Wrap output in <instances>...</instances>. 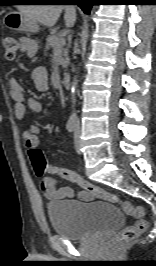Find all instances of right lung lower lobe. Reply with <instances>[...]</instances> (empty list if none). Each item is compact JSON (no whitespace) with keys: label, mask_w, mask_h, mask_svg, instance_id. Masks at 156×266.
<instances>
[{"label":"right lung lower lobe","mask_w":156,"mask_h":266,"mask_svg":"<svg viewBox=\"0 0 156 266\" xmlns=\"http://www.w3.org/2000/svg\"><path fill=\"white\" fill-rule=\"evenodd\" d=\"M64 1H70L76 3L86 14L90 13V9L95 2V0H64Z\"/></svg>","instance_id":"right-lung-lower-lobe-1"}]
</instances>
